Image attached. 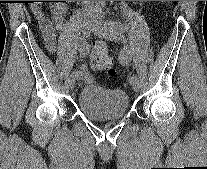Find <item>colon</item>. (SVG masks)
Masks as SVG:
<instances>
[{
	"label": "colon",
	"mask_w": 207,
	"mask_h": 169,
	"mask_svg": "<svg viewBox=\"0 0 207 169\" xmlns=\"http://www.w3.org/2000/svg\"><path fill=\"white\" fill-rule=\"evenodd\" d=\"M91 67L94 70L108 71L110 76H115L116 71L113 67V62L109 56L106 47L103 43L95 44L91 55Z\"/></svg>",
	"instance_id": "5ec220e1"
}]
</instances>
